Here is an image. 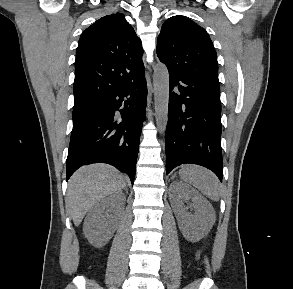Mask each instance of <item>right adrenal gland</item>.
I'll return each mask as SVG.
<instances>
[{"mask_svg": "<svg viewBox=\"0 0 293 289\" xmlns=\"http://www.w3.org/2000/svg\"><path fill=\"white\" fill-rule=\"evenodd\" d=\"M124 190L126 191V193H128V188H127V186L124 187Z\"/></svg>", "mask_w": 293, "mask_h": 289, "instance_id": "1", "label": "right adrenal gland"}]
</instances>
